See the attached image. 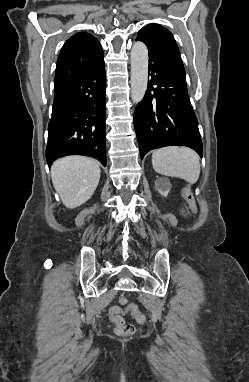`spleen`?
I'll use <instances>...</instances> for the list:
<instances>
[{
    "instance_id": "1",
    "label": "spleen",
    "mask_w": 249,
    "mask_h": 382,
    "mask_svg": "<svg viewBox=\"0 0 249 382\" xmlns=\"http://www.w3.org/2000/svg\"><path fill=\"white\" fill-rule=\"evenodd\" d=\"M152 165L157 173L178 177L190 184L197 182L200 176L199 155L188 147L156 149L152 153Z\"/></svg>"
}]
</instances>
